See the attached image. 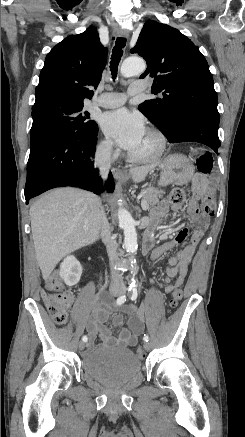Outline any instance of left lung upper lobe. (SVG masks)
Wrapping results in <instances>:
<instances>
[{"instance_id":"left-lung-upper-lobe-1","label":"left lung upper lobe","mask_w":245,"mask_h":437,"mask_svg":"<svg viewBox=\"0 0 245 437\" xmlns=\"http://www.w3.org/2000/svg\"><path fill=\"white\" fill-rule=\"evenodd\" d=\"M130 52L146 60L147 69L140 78L153 77L152 93L162 95L144 101L138 108L166 138L176 132L180 117L186 113L219 121L212 74L189 38L169 25L150 20Z\"/></svg>"}]
</instances>
